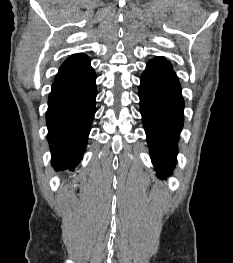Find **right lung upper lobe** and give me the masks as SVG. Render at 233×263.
Wrapping results in <instances>:
<instances>
[{"label": "right lung upper lobe", "instance_id": "1", "mask_svg": "<svg viewBox=\"0 0 233 263\" xmlns=\"http://www.w3.org/2000/svg\"><path fill=\"white\" fill-rule=\"evenodd\" d=\"M90 65V59L85 54H74L61 65L59 71L80 70Z\"/></svg>", "mask_w": 233, "mask_h": 263}]
</instances>
